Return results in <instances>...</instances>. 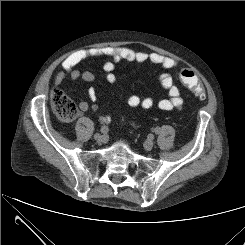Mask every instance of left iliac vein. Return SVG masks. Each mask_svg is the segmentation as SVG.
Returning a JSON list of instances; mask_svg holds the SVG:
<instances>
[{"label":"left iliac vein","mask_w":245,"mask_h":245,"mask_svg":"<svg viewBox=\"0 0 245 245\" xmlns=\"http://www.w3.org/2000/svg\"><path fill=\"white\" fill-rule=\"evenodd\" d=\"M153 141L151 139H147L145 142H144V148L146 150H151L153 148Z\"/></svg>","instance_id":"1"}]
</instances>
